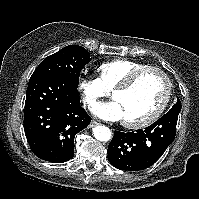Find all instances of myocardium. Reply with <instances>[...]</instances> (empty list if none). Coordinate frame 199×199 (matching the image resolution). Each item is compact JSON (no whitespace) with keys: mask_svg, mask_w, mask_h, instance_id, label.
Here are the masks:
<instances>
[{"mask_svg":"<svg viewBox=\"0 0 199 199\" xmlns=\"http://www.w3.org/2000/svg\"><path fill=\"white\" fill-rule=\"evenodd\" d=\"M149 72L158 73L164 78L166 83L165 95L160 104L157 106V108L147 117L136 121L124 120L123 124L128 128L138 129L151 125L163 114V112L165 111L166 107L170 102L173 90L172 80L164 70L155 66H146L131 73L121 84L112 89L111 91L112 97L116 93H122L132 89L134 85L139 81V79Z\"/></svg>","mask_w":199,"mask_h":199,"instance_id":"1","label":"myocardium"}]
</instances>
